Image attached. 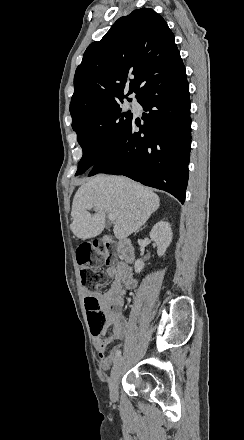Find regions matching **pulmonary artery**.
I'll return each mask as SVG.
<instances>
[{
	"label": "pulmonary artery",
	"mask_w": 244,
	"mask_h": 440,
	"mask_svg": "<svg viewBox=\"0 0 244 440\" xmlns=\"http://www.w3.org/2000/svg\"><path fill=\"white\" fill-rule=\"evenodd\" d=\"M133 105H134V106H136V105H137V102H136V101H134V102H133Z\"/></svg>",
	"instance_id": "pulmonary-artery-1"
}]
</instances>
